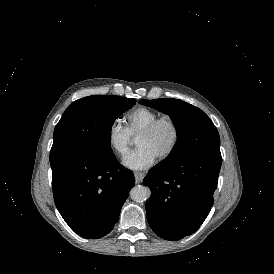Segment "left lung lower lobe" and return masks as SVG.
Masks as SVG:
<instances>
[{"mask_svg":"<svg viewBox=\"0 0 274 274\" xmlns=\"http://www.w3.org/2000/svg\"><path fill=\"white\" fill-rule=\"evenodd\" d=\"M221 163L220 153L204 152L149 171L143 181L151 190L146 215L158 236L175 241L200 227L214 203Z\"/></svg>","mask_w":274,"mask_h":274,"instance_id":"left-lung-lower-lobe-1","label":"left lung lower lobe"}]
</instances>
